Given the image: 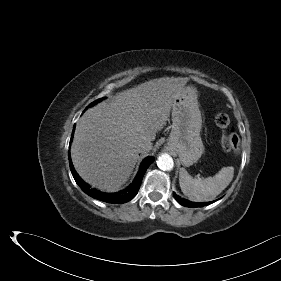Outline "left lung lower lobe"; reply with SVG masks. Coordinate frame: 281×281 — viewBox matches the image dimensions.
Masks as SVG:
<instances>
[{"mask_svg":"<svg viewBox=\"0 0 281 281\" xmlns=\"http://www.w3.org/2000/svg\"><path fill=\"white\" fill-rule=\"evenodd\" d=\"M174 197L175 199L177 200V202L183 206H187V207H202V206H206V205H209L215 201H211V202H201V203H195V202H191V201H188L184 198H181L179 196H177L175 193H174Z\"/></svg>","mask_w":281,"mask_h":281,"instance_id":"0a47b994","label":"left lung lower lobe"}]
</instances>
